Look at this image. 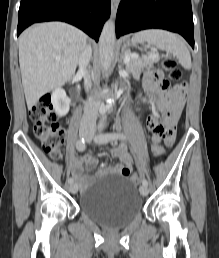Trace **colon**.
<instances>
[{
  "label": "colon",
  "mask_w": 219,
  "mask_h": 258,
  "mask_svg": "<svg viewBox=\"0 0 219 258\" xmlns=\"http://www.w3.org/2000/svg\"><path fill=\"white\" fill-rule=\"evenodd\" d=\"M162 67L168 74V77L174 81H180L182 78L181 70L173 57L167 56L162 60ZM185 87L183 83L179 84ZM29 115L34 123V134L41 142L44 151L52 158H59L61 149L64 144V130L62 129L59 117L55 112L50 97L45 95L41 97L30 109ZM153 154L156 158L161 159L165 154L162 145L155 143L152 147ZM141 176L133 174L131 181L139 183Z\"/></svg>",
  "instance_id": "colon-1"
}]
</instances>
